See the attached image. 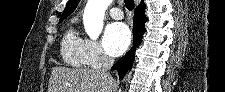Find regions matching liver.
<instances>
[{"instance_id": "liver-1", "label": "liver", "mask_w": 225, "mask_h": 92, "mask_svg": "<svg viewBox=\"0 0 225 92\" xmlns=\"http://www.w3.org/2000/svg\"><path fill=\"white\" fill-rule=\"evenodd\" d=\"M113 88L114 79L102 70L54 67L47 92H112Z\"/></svg>"}]
</instances>
